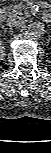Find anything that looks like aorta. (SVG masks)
I'll return each instance as SVG.
<instances>
[{"label": "aorta", "instance_id": "aorta-1", "mask_svg": "<svg viewBox=\"0 0 51 153\" xmlns=\"http://www.w3.org/2000/svg\"><path fill=\"white\" fill-rule=\"evenodd\" d=\"M44 31H45L44 24L37 21L28 25L26 29V34L30 38L37 39L44 34Z\"/></svg>", "mask_w": 51, "mask_h": 153}]
</instances>
